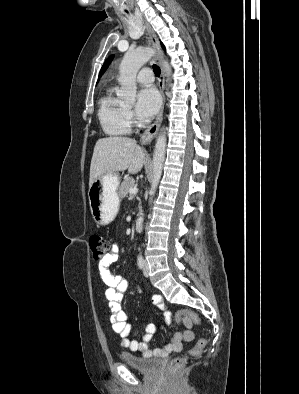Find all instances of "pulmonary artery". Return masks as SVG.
<instances>
[{
	"mask_svg": "<svg viewBox=\"0 0 299 394\" xmlns=\"http://www.w3.org/2000/svg\"><path fill=\"white\" fill-rule=\"evenodd\" d=\"M153 80L154 75L149 68L142 69L137 75V81L142 84H151Z\"/></svg>",
	"mask_w": 299,
	"mask_h": 394,
	"instance_id": "1",
	"label": "pulmonary artery"
}]
</instances>
